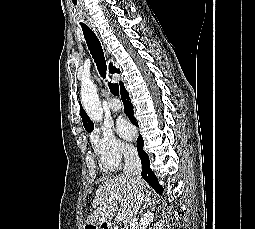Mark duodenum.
Here are the masks:
<instances>
[{"label":"duodenum","mask_w":255,"mask_h":229,"mask_svg":"<svg viewBox=\"0 0 255 229\" xmlns=\"http://www.w3.org/2000/svg\"><path fill=\"white\" fill-rule=\"evenodd\" d=\"M90 229H95V228H90ZM97 229H119V227L112 223L103 222L98 224Z\"/></svg>","instance_id":"410a0bca"}]
</instances>
